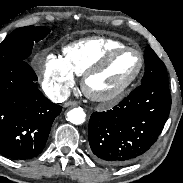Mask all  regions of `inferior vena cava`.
Masks as SVG:
<instances>
[{"label":"inferior vena cava","instance_id":"602c4592","mask_svg":"<svg viewBox=\"0 0 183 183\" xmlns=\"http://www.w3.org/2000/svg\"><path fill=\"white\" fill-rule=\"evenodd\" d=\"M70 95V91L65 90L61 91H48L47 96L55 103H62L64 102Z\"/></svg>","mask_w":183,"mask_h":183}]
</instances>
